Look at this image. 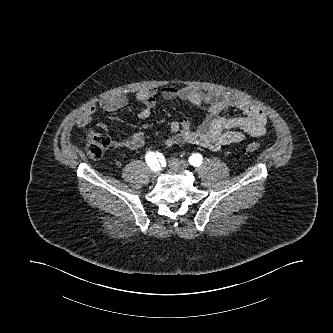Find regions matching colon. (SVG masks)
I'll list each match as a JSON object with an SVG mask.
<instances>
[{"instance_id": "obj_1", "label": "colon", "mask_w": 333, "mask_h": 333, "mask_svg": "<svg viewBox=\"0 0 333 333\" xmlns=\"http://www.w3.org/2000/svg\"><path fill=\"white\" fill-rule=\"evenodd\" d=\"M111 144L108 134L102 131H91L86 138V152L91 159H99ZM257 142L248 143L243 147V153L254 154L260 150Z\"/></svg>"}]
</instances>
